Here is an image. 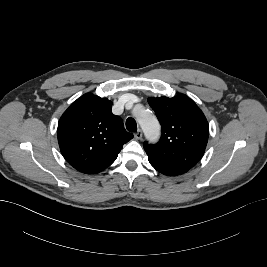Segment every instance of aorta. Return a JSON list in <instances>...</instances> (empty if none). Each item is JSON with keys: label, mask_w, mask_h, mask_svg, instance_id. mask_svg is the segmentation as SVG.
Returning <instances> with one entry per match:
<instances>
[{"label": "aorta", "mask_w": 267, "mask_h": 267, "mask_svg": "<svg viewBox=\"0 0 267 267\" xmlns=\"http://www.w3.org/2000/svg\"><path fill=\"white\" fill-rule=\"evenodd\" d=\"M135 116L148 139H157L160 134V124L156 117L146 109L135 112Z\"/></svg>", "instance_id": "obj_1"}]
</instances>
